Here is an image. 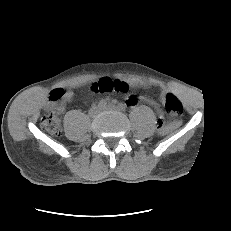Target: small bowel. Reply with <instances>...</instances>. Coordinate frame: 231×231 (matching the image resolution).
Here are the masks:
<instances>
[{
  "label": "small bowel",
  "instance_id": "small-bowel-1",
  "mask_svg": "<svg viewBox=\"0 0 231 231\" xmlns=\"http://www.w3.org/2000/svg\"><path fill=\"white\" fill-rule=\"evenodd\" d=\"M125 82V81H124ZM126 85L129 88V84L127 82H125ZM55 91H60L61 92V97L55 101H51L53 104H56V109L59 113H62L65 110V104L66 101H69L70 99H72L73 97V92L70 90H63V89H57ZM166 95L165 90H163V96ZM127 104H129L130 106H135L138 101H139V97L135 94H130L127 96L126 98Z\"/></svg>",
  "mask_w": 231,
  "mask_h": 231
}]
</instances>
